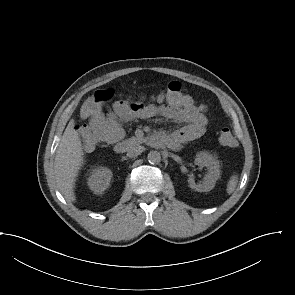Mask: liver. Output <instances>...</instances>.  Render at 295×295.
Returning <instances> with one entry per match:
<instances>
[{
    "instance_id": "1",
    "label": "liver",
    "mask_w": 295,
    "mask_h": 295,
    "mask_svg": "<svg viewBox=\"0 0 295 295\" xmlns=\"http://www.w3.org/2000/svg\"><path fill=\"white\" fill-rule=\"evenodd\" d=\"M74 126V120H71L57 148L54 163L57 187L65 199L70 202L76 200L74 192L75 181L84 163L81 139Z\"/></svg>"
}]
</instances>
